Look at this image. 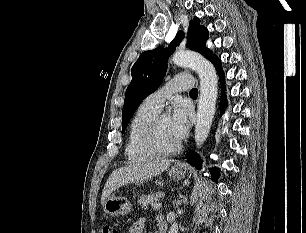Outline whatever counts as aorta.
<instances>
[{
	"instance_id": "obj_1",
	"label": "aorta",
	"mask_w": 306,
	"mask_h": 233,
	"mask_svg": "<svg viewBox=\"0 0 306 233\" xmlns=\"http://www.w3.org/2000/svg\"><path fill=\"white\" fill-rule=\"evenodd\" d=\"M172 61L177 66L191 67L200 78V95L195 124V142L199 147L207 139L214 119L218 95L217 73L210 61L192 51L178 50L174 53ZM168 233H178L176 222L171 225Z\"/></svg>"
}]
</instances>
